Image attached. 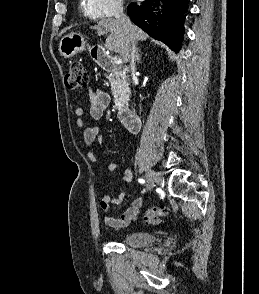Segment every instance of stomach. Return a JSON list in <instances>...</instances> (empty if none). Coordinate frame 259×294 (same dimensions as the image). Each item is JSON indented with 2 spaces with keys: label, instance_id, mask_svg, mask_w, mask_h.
<instances>
[{
  "label": "stomach",
  "instance_id": "obj_1",
  "mask_svg": "<svg viewBox=\"0 0 259 294\" xmlns=\"http://www.w3.org/2000/svg\"><path fill=\"white\" fill-rule=\"evenodd\" d=\"M85 50L84 37L77 32H71L60 40L59 52L64 58H71Z\"/></svg>",
  "mask_w": 259,
  "mask_h": 294
}]
</instances>
